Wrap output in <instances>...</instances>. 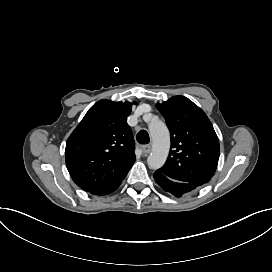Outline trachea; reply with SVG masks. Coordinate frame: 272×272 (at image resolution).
<instances>
[{"instance_id": "obj_1", "label": "trachea", "mask_w": 272, "mask_h": 272, "mask_svg": "<svg viewBox=\"0 0 272 272\" xmlns=\"http://www.w3.org/2000/svg\"><path fill=\"white\" fill-rule=\"evenodd\" d=\"M136 139L141 144H148L150 141L149 135L146 130H140L136 135Z\"/></svg>"}]
</instances>
